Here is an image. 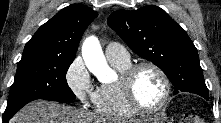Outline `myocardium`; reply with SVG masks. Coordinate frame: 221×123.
<instances>
[{"mask_svg":"<svg viewBox=\"0 0 221 123\" xmlns=\"http://www.w3.org/2000/svg\"><path fill=\"white\" fill-rule=\"evenodd\" d=\"M144 68H150L154 70L161 78L163 85H164V95L162 100L153 107H146L143 106L136 98L134 93V79L137 75V73L144 69ZM119 84L122 91V94L124 96V99L128 103V105L136 110L137 112L141 113H154L159 110H161L169 101L170 95H171V83L170 80L165 73V71L152 62H140L134 65H131L129 68H127L119 78Z\"/></svg>","mask_w":221,"mask_h":123,"instance_id":"f54148a6","label":"myocardium"}]
</instances>
